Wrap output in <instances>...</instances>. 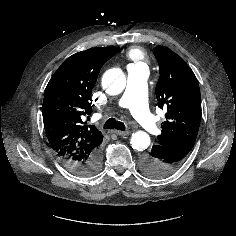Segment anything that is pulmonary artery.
I'll return each instance as SVG.
<instances>
[{
  "mask_svg": "<svg viewBox=\"0 0 236 236\" xmlns=\"http://www.w3.org/2000/svg\"><path fill=\"white\" fill-rule=\"evenodd\" d=\"M128 84L118 101L122 108L130 110L145 129L154 134L158 131L153 115L147 105V80L149 70L145 64L130 65L127 68Z\"/></svg>",
  "mask_w": 236,
  "mask_h": 236,
  "instance_id": "e3ab8cb5",
  "label": "pulmonary artery"
}]
</instances>
